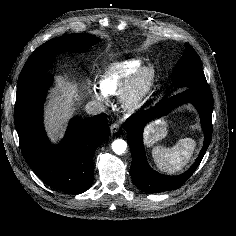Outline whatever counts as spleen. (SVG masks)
<instances>
[{
    "instance_id": "spleen-1",
    "label": "spleen",
    "mask_w": 236,
    "mask_h": 236,
    "mask_svg": "<svg viewBox=\"0 0 236 236\" xmlns=\"http://www.w3.org/2000/svg\"><path fill=\"white\" fill-rule=\"evenodd\" d=\"M196 143L191 138H183L171 148L156 146L152 150V158L157 168L165 173H176L190 161Z\"/></svg>"
}]
</instances>
